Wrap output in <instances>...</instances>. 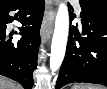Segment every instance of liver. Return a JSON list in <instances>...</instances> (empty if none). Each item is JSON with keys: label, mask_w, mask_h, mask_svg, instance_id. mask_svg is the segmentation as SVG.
<instances>
[{"label": "liver", "mask_w": 107, "mask_h": 89, "mask_svg": "<svg viewBox=\"0 0 107 89\" xmlns=\"http://www.w3.org/2000/svg\"><path fill=\"white\" fill-rule=\"evenodd\" d=\"M0 89H21L19 85L6 78H1Z\"/></svg>", "instance_id": "6515ba94"}]
</instances>
